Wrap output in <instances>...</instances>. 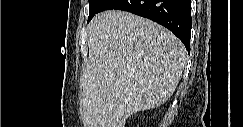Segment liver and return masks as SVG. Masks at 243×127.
<instances>
[{"label": "liver", "instance_id": "6515ba94", "mask_svg": "<svg viewBox=\"0 0 243 127\" xmlns=\"http://www.w3.org/2000/svg\"><path fill=\"white\" fill-rule=\"evenodd\" d=\"M88 47L82 74L85 127H125L131 114L162 105L186 64V49L172 32L119 10L94 16Z\"/></svg>", "mask_w": 243, "mask_h": 127}]
</instances>
